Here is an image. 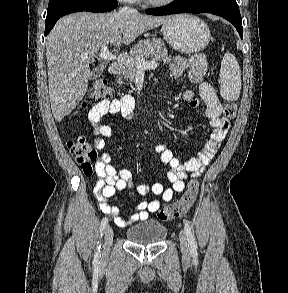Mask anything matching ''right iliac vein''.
Listing matches in <instances>:
<instances>
[{"mask_svg": "<svg viewBox=\"0 0 288 293\" xmlns=\"http://www.w3.org/2000/svg\"><path fill=\"white\" fill-rule=\"evenodd\" d=\"M113 236H114L113 229L108 225L105 229V239H104L103 252H102L103 258H106L109 255L111 245L113 242Z\"/></svg>", "mask_w": 288, "mask_h": 293, "instance_id": "1", "label": "right iliac vein"}]
</instances>
